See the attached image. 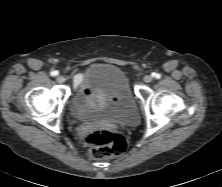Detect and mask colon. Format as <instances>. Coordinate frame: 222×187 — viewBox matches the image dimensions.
<instances>
[{
  "instance_id": "obj_1",
  "label": "colon",
  "mask_w": 222,
  "mask_h": 187,
  "mask_svg": "<svg viewBox=\"0 0 222 187\" xmlns=\"http://www.w3.org/2000/svg\"><path fill=\"white\" fill-rule=\"evenodd\" d=\"M90 157L102 160L123 153L128 146L127 139L120 133L108 130H92L85 136Z\"/></svg>"
}]
</instances>
